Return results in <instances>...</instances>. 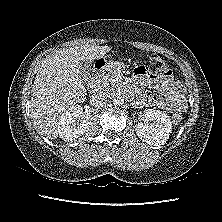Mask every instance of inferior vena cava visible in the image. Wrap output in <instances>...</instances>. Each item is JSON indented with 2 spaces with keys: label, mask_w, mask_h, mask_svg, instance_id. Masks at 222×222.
<instances>
[{
  "label": "inferior vena cava",
  "mask_w": 222,
  "mask_h": 222,
  "mask_svg": "<svg viewBox=\"0 0 222 222\" xmlns=\"http://www.w3.org/2000/svg\"><path fill=\"white\" fill-rule=\"evenodd\" d=\"M90 103L97 108L104 107L108 103V97L103 93H97L92 95Z\"/></svg>",
  "instance_id": "inferior-vena-cava-1"
}]
</instances>
